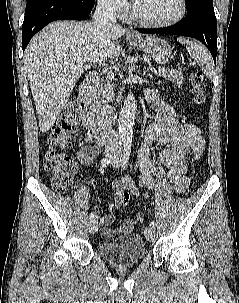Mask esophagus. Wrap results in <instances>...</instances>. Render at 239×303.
Here are the masks:
<instances>
[{
	"label": "esophagus",
	"instance_id": "34e87169",
	"mask_svg": "<svg viewBox=\"0 0 239 303\" xmlns=\"http://www.w3.org/2000/svg\"><path fill=\"white\" fill-rule=\"evenodd\" d=\"M129 36L132 37V38L137 37V35L135 33H133V32L129 33Z\"/></svg>",
	"mask_w": 239,
	"mask_h": 303
}]
</instances>
